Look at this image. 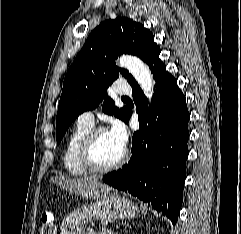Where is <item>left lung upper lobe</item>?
<instances>
[{
    "label": "left lung upper lobe",
    "mask_w": 241,
    "mask_h": 234,
    "mask_svg": "<svg viewBox=\"0 0 241 234\" xmlns=\"http://www.w3.org/2000/svg\"><path fill=\"white\" fill-rule=\"evenodd\" d=\"M158 50L153 34L132 19L117 17L96 27L65 76L56 117L57 144L81 113L95 109L102 101L106 114L126 122L130 110L119 109L111 98H105L107 88L120 74L129 83L135 81L127 70L116 66L115 59L121 54H132L147 63Z\"/></svg>",
    "instance_id": "left-lung-upper-lobe-1"
}]
</instances>
